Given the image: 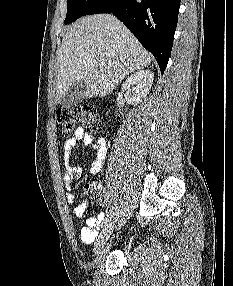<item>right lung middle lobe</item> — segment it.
<instances>
[{
    "label": "right lung middle lobe",
    "mask_w": 233,
    "mask_h": 286,
    "mask_svg": "<svg viewBox=\"0 0 233 286\" xmlns=\"http://www.w3.org/2000/svg\"><path fill=\"white\" fill-rule=\"evenodd\" d=\"M98 0H67V15L64 23L69 24L84 14L97 2Z\"/></svg>",
    "instance_id": "dd1d6c3e"
}]
</instances>
